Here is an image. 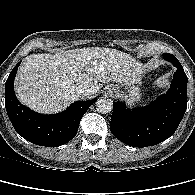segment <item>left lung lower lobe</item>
Masks as SVG:
<instances>
[{"mask_svg": "<svg viewBox=\"0 0 195 195\" xmlns=\"http://www.w3.org/2000/svg\"><path fill=\"white\" fill-rule=\"evenodd\" d=\"M173 65L177 70L170 89L151 104L130 110L113 102L110 130L117 139L133 147H147L174 134L187 108V76L180 63Z\"/></svg>", "mask_w": 195, "mask_h": 195, "instance_id": "0a47b994", "label": "left lung lower lobe"}]
</instances>
